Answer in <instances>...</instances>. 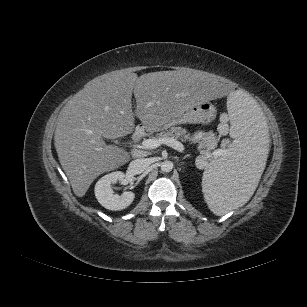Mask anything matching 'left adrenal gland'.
Returning a JSON list of instances; mask_svg holds the SVG:
<instances>
[{
    "label": "left adrenal gland",
    "mask_w": 307,
    "mask_h": 307,
    "mask_svg": "<svg viewBox=\"0 0 307 307\" xmlns=\"http://www.w3.org/2000/svg\"><path fill=\"white\" fill-rule=\"evenodd\" d=\"M188 157H190V155H185L183 159H186V158H188Z\"/></svg>",
    "instance_id": "1"
}]
</instances>
